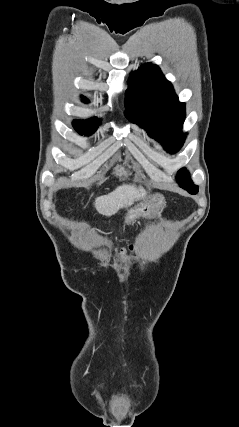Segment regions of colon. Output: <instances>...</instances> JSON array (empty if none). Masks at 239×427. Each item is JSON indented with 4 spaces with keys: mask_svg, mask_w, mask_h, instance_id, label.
Here are the masks:
<instances>
[{
    "mask_svg": "<svg viewBox=\"0 0 239 427\" xmlns=\"http://www.w3.org/2000/svg\"><path fill=\"white\" fill-rule=\"evenodd\" d=\"M132 249H133V245L128 246V250H132ZM122 251H123V252H126V251H127V249H126V248H123V249H122Z\"/></svg>",
    "mask_w": 239,
    "mask_h": 427,
    "instance_id": "obj_1",
    "label": "colon"
}]
</instances>
